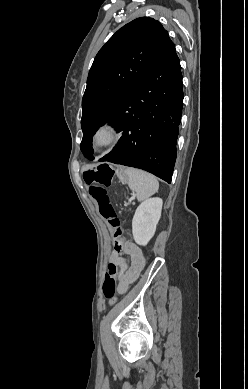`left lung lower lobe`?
<instances>
[{
	"mask_svg": "<svg viewBox=\"0 0 248 389\" xmlns=\"http://www.w3.org/2000/svg\"><path fill=\"white\" fill-rule=\"evenodd\" d=\"M182 106L181 66L172 44L108 120L123 134L99 161L140 168L170 183Z\"/></svg>",
	"mask_w": 248,
	"mask_h": 389,
	"instance_id": "left-lung-lower-lobe-1",
	"label": "left lung lower lobe"
}]
</instances>
